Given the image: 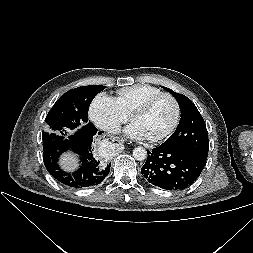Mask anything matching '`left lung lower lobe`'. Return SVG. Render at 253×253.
Returning <instances> with one entry per match:
<instances>
[{
    "mask_svg": "<svg viewBox=\"0 0 253 253\" xmlns=\"http://www.w3.org/2000/svg\"><path fill=\"white\" fill-rule=\"evenodd\" d=\"M141 168L142 175L154 186L166 190L189 187L201 174L206 159L180 148L160 145L151 152Z\"/></svg>",
    "mask_w": 253,
    "mask_h": 253,
    "instance_id": "1",
    "label": "left lung lower lobe"
}]
</instances>
